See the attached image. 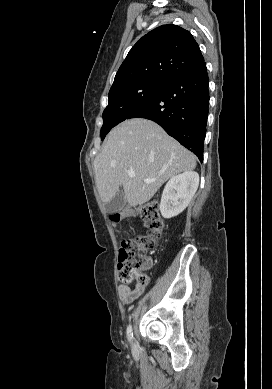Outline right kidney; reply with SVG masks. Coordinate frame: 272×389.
I'll return each mask as SVG.
<instances>
[{
	"mask_svg": "<svg viewBox=\"0 0 272 389\" xmlns=\"http://www.w3.org/2000/svg\"><path fill=\"white\" fill-rule=\"evenodd\" d=\"M199 174L186 171L173 176L166 184L160 203V212L164 218H172L184 211L197 191Z\"/></svg>",
	"mask_w": 272,
	"mask_h": 389,
	"instance_id": "right-kidney-1",
	"label": "right kidney"
}]
</instances>
